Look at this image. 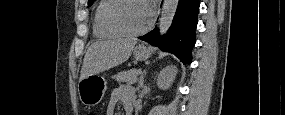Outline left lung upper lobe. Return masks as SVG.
<instances>
[{
    "label": "left lung upper lobe",
    "mask_w": 285,
    "mask_h": 115,
    "mask_svg": "<svg viewBox=\"0 0 285 115\" xmlns=\"http://www.w3.org/2000/svg\"><path fill=\"white\" fill-rule=\"evenodd\" d=\"M94 2V0H88V5H91Z\"/></svg>",
    "instance_id": "obj_1"
}]
</instances>
